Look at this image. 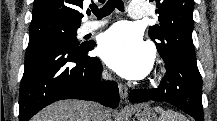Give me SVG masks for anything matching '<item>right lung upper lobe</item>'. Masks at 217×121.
<instances>
[{
    "instance_id": "cb5924a9",
    "label": "right lung upper lobe",
    "mask_w": 217,
    "mask_h": 121,
    "mask_svg": "<svg viewBox=\"0 0 217 121\" xmlns=\"http://www.w3.org/2000/svg\"><path fill=\"white\" fill-rule=\"evenodd\" d=\"M84 0H34L32 21L56 19L72 24H81Z\"/></svg>"
}]
</instances>
